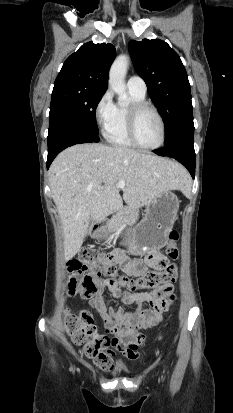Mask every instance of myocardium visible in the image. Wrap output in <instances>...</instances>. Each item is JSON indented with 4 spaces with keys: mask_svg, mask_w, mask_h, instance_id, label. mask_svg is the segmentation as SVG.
<instances>
[{
    "mask_svg": "<svg viewBox=\"0 0 233 413\" xmlns=\"http://www.w3.org/2000/svg\"><path fill=\"white\" fill-rule=\"evenodd\" d=\"M151 110L156 117L158 118L160 125H161V139L160 142L155 146H145L143 145L137 136V123L140 115L146 111ZM127 131L128 136L133 145L139 149L146 150V151H153L161 148L166 140V124L165 121L159 112V110L152 104L142 101L133 103L128 110V119H127Z\"/></svg>",
    "mask_w": 233,
    "mask_h": 413,
    "instance_id": "1",
    "label": "myocardium"
}]
</instances>
